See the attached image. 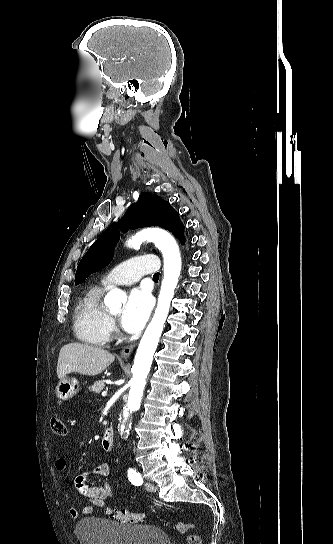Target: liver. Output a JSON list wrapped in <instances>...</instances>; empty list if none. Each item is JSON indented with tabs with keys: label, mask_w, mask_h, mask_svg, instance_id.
Returning <instances> with one entry per match:
<instances>
[{
	"label": "liver",
	"mask_w": 333,
	"mask_h": 544,
	"mask_svg": "<svg viewBox=\"0 0 333 544\" xmlns=\"http://www.w3.org/2000/svg\"><path fill=\"white\" fill-rule=\"evenodd\" d=\"M114 360L115 356L104 349L82 343H69L60 349L57 376L62 379L71 372L95 376Z\"/></svg>",
	"instance_id": "6515ba94"
}]
</instances>
